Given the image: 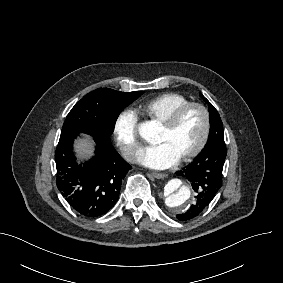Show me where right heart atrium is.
<instances>
[{
	"instance_id": "right-heart-atrium-1",
	"label": "right heart atrium",
	"mask_w": 283,
	"mask_h": 283,
	"mask_svg": "<svg viewBox=\"0 0 283 283\" xmlns=\"http://www.w3.org/2000/svg\"><path fill=\"white\" fill-rule=\"evenodd\" d=\"M137 117L133 110L125 108L114 119L112 125V138L115 146L127 160L134 158L138 148Z\"/></svg>"
}]
</instances>
